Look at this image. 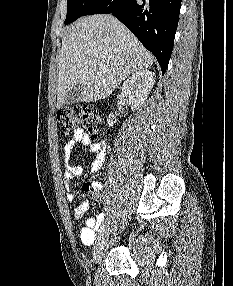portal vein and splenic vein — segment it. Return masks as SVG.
<instances>
[{
    "label": "portal vein and splenic vein",
    "mask_w": 233,
    "mask_h": 286,
    "mask_svg": "<svg viewBox=\"0 0 233 286\" xmlns=\"http://www.w3.org/2000/svg\"><path fill=\"white\" fill-rule=\"evenodd\" d=\"M99 69H100V70L104 69V65H103V64H100V65H99Z\"/></svg>",
    "instance_id": "1"
}]
</instances>
